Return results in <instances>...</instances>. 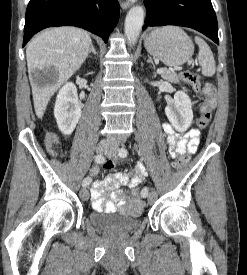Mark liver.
<instances>
[{
  "instance_id": "obj_1",
  "label": "liver",
  "mask_w": 247,
  "mask_h": 275,
  "mask_svg": "<svg viewBox=\"0 0 247 275\" xmlns=\"http://www.w3.org/2000/svg\"><path fill=\"white\" fill-rule=\"evenodd\" d=\"M91 38L87 31L76 27H56L34 37L26 49L28 73L32 86L35 113L42 118L52 95L84 63L90 47ZM54 67L57 79L52 84L40 86L32 79L36 69Z\"/></svg>"
}]
</instances>
